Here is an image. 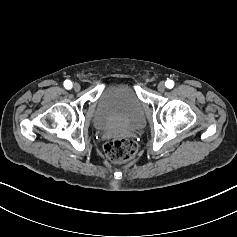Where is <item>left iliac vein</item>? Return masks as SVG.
<instances>
[{
    "label": "left iliac vein",
    "mask_w": 237,
    "mask_h": 237,
    "mask_svg": "<svg viewBox=\"0 0 237 237\" xmlns=\"http://www.w3.org/2000/svg\"><path fill=\"white\" fill-rule=\"evenodd\" d=\"M157 88H158V90H159L160 92H163V91L165 90V88H166L164 82H160V83L158 84Z\"/></svg>",
    "instance_id": "1"
}]
</instances>
